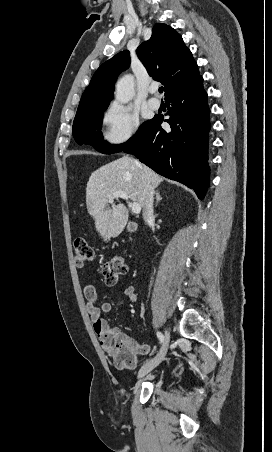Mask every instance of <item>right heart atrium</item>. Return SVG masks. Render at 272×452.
I'll list each match as a JSON object with an SVG mask.
<instances>
[{"label": "right heart atrium", "mask_w": 272, "mask_h": 452, "mask_svg": "<svg viewBox=\"0 0 272 452\" xmlns=\"http://www.w3.org/2000/svg\"><path fill=\"white\" fill-rule=\"evenodd\" d=\"M103 138L111 145H120L132 138L139 129L138 115L129 107L112 103L102 115Z\"/></svg>", "instance_id": "d8ad5b80"}]
</instances>
